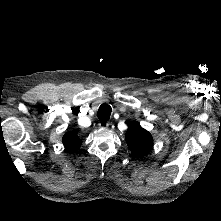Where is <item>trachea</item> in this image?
I'll return each instance as SVG.
<instances>
[{
    "label": "trachea",
    "instance_id": "obj_1",
    "mask_svg": "<svg viewBox=\"0 0 221 221\" xmlns=\"http://www.w3.org/2000/svg\"><path fill=\"white\" fill-rule=\"evenodd\" d=\"M112 112V108L108 104H102L97 112V117L101 121H108Z\"/></svg>",
    "mask_w": 221,
    "mask_h": 221
}]
</instances>
